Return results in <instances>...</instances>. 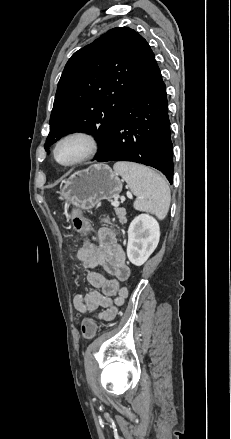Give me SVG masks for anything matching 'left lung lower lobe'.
<instances>
[{"label": "left lung lower lobe", "instance_id": "obj_1", "mask_svg": "<svg viewBox=\"0 0 231 439\" xmlns=\"http://www.w3.org/2000/svg\"><path fill=\"white\" fill-rule=\"evenodd\" d=\"M172 150L166 86L153 54L94 160L142 163L160 170L172 184Z\"/></svg>", "mask_w": 231, "mask_h": 439}]
</instances>
